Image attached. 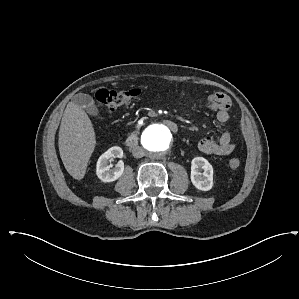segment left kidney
I'll return each mask as SVG.
<instances>
[{
	"label": "left kidney",
	"mask_w": 299,
	"mask_h": 299,
	"mask_svg": "<svg viewBox=\"0 0 299 299\" xmlns=\"http://www.w3.org/2000/svg\"><path fill=\"white\" fill-rule=\"evenodd\" d=\"M203 170V173L200 171ZM191 182L201 191H209L213 187V167L203 157H195L191 162Z\"/></svg>",
	"instance_id": "5707ae66"
}]
</instances>
